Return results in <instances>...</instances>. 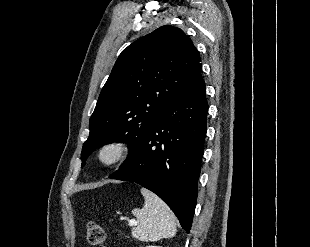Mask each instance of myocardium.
Returning <instances> with one entry per match:
<instances>
[{"instance_id": "f54148a6", "label": "myocardium", "mask_w": 310, "mask_h": 247, "mask_svg": "<svg viewBox=\"0 0 310 247\" xmlns=\"http://www.w3.org/2000/svg\"><path fill=\"white\" fill-rule=\"evenodd\" d=\"M131 147L128 141L114 139L104 143L97 154L98 161L107 167L123 162L129 155Z\"/></svg>"}]
</instances>
